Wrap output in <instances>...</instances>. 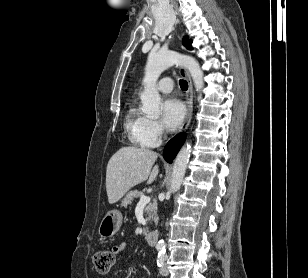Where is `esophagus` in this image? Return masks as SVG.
Returning <instances> with one entry per match:
<instances>
[{
    "mask_svg": "<svg viewBox=\"0 0 308 278\" xmlns=\"http://www.w3.org/2000/svg\"><path fill=\"white\" fill-rule=\"evenodd\" d=\"M180 74L187 80L188 83V90L186 92V104H187V114L185 117V120L180 127L179 132L185 131L192 119V113H193V85H192V80L189 75V72L185 68L180 69Z\"/></svg>",
    "mask_w": 308,
    "mask_h": 278,
    "instance_id": "esophagus-1",
    "label": "esophagus"
}]
</instances>
